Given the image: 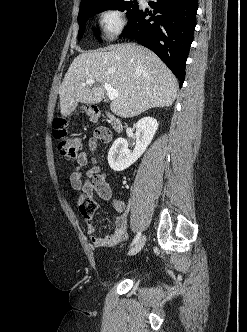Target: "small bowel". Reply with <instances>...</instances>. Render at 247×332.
Segmentation results:
<instances>
[{
	"label": "small bowel",
	"instance_id": "1",
	"mask_svg": "<svg viewBox=\"0 0 247 332\" xmlns=\"http://www.w3.org/2000/svg\"><path fill=\"white\" fill-rule=\"evenodd\" d=\"M112 138L111 132L100 127L94 131L89 141L88 152H81L76 158V165L70 175V184L73 189L80 191L86 198L95 194L108 200L118 215L114 218V232L104 237H98L91 224L87 225V234L93 247H113L124 242L127 238V218L124 214L126 205L119 198L112 196L111 188L107 181V174L99 164V143H108ZM90 168H86L88 163Z\"/></svg>",
	"mask_w": 247,
	"mask_h": 332
}]
</instances>
